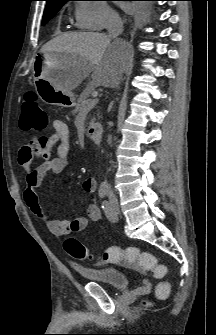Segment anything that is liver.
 Segmentation results:
<instances>
[{
	"instance_id": "obj_1",
	"label": "liver",
	"mask_w": 216,
	"mask_h": 335,
	"mask_svg": "<svg viewBox=\"0 0 216 335\" xmlns=\"http://www.w3.org/2000/svg\"><path fill=\"white\" fill-rule=\"evenodd\" d=\"M42 53L68 54L70 67L57 78V85L65 92L78 87L92 72L89 87L117 88L131 57L132 46L95 32H71L59 35L42 48Z\"/></svg>"
}]
</instances>
